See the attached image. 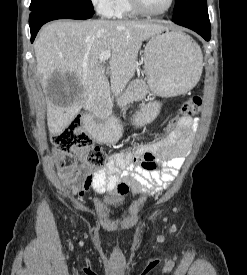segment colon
Instances as JSON below:
<instances>
[{"mask_svg": "<svg viewBox=\"0 0 247 275\" xmlns=\"http://www.w3.org/2000/svg\"><path fill=\"white\" fill-rule=\"evenodd\" d=\"M201 107L202 99L193 96L181 105L179 114L182 117H192L200 112ZM52 143L70 157L83 159L93 171L101 170L106 163L104 151L93 145L92 138L84 131L80 118H75L63 131L54 135ZM117 191L125 195L130 191V187L121 183Z\"/></svg>", "mask_w": 247, "mask_h": 275, "instance_id": "colon-1", "label": "colon"}]
</instances>
